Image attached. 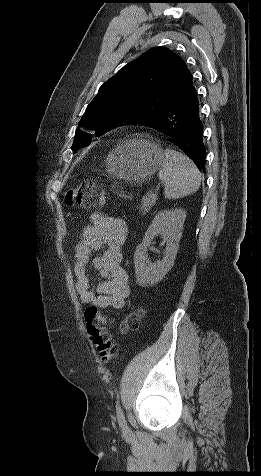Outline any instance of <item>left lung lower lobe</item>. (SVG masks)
<instances>
[{
  "label": "left lung lower lobe",
  "instance_id": "left-lung-lower-lobe-1",
  "mask_svg": "<svg viewBox=\"0 0 261 476\" xmlns=\"http://www.w3.org/2000/svg\"><path fill=\"white\" fill-rule=\"evenodd\" d=\"M164 134L168 141L183 150L194 163L205 168L203 124L194 86L165 111L141 123Z\"/></svg>",
  "mask_w": 261,
  "mask_h": 476
}]
</instances>
